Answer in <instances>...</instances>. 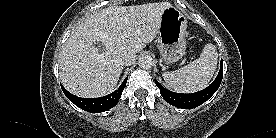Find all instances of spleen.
I'll list each match as a JSON object with an SVG mask.
<instances>
[{"label":"spleen","instance_id":"spleen-1","mask_svg":"<svg viewBox=\"0 0 276 138\" xmlns=\"http://www.w3.org/2000/svg\"><path fill=\"white\" fill-rule=\"evenodd\" d=\"M218 53L213 44H207L200 57L173 72L162 74L165 82L180 93H192L205 88L216 70Z\"/></svg>","mask_w":276,"mask_h":138}]
</instances>
